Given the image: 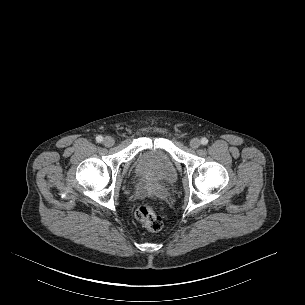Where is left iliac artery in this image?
I'll list each match as a JSON object with an SVG mask.
<instances>
[{"label": "left iliac artery", "mask_w": 305, "mask_h": 305, "mask_svg": "<svg viewBox=\"0 0 305 305\" xmlns=\"http://www.w3.org/2000/svg\"><path fill=\"white\" fill-rule=\"evenodd\" d=\"M201 144H202V145H207V144H208V139L205 138V137L202 138V139H201Z\"/></svg>", "instance_id": "obj_1"}]
</instances>
